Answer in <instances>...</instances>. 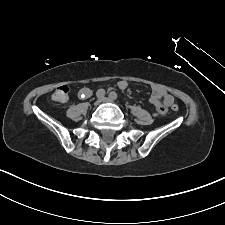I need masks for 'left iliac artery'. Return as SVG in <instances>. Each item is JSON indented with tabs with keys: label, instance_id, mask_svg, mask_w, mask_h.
<instances>
[{
	"label": "left iliac artery",
	"instance_id": "obj_1",
	"mask_svg": "<svg viewBox=\"0 0 225 225\" xmlns=\"http://www.w3.org/2000/svg\"><path fill=\"white\" fill-rule=\"evenodd\" d=\"M109 97L113 100H116L118 96L116 92H110Z\"/></svg>",
	"mask_w": 225,
	"mask_h": 225
}]
</instances>
